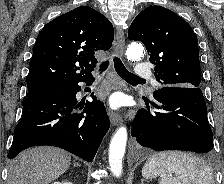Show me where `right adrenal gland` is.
Wrapping results in <instances>:
<instances>
[{"label": "right adrenal gland", "mask_w": 224, "mask_h": 184, "mask_svg": "<svg viewBox=\"0 0 224 184\" xmlns=\"http://www.w3.org/2000/svg\"><path fill=\"white\" fill-rule=\"evenodd\" d=\"M77 166H81L78 162L77 163H74V167H77Z\"/></svg>", "instance_id": "2a0ac1e0"}]
</instances>
